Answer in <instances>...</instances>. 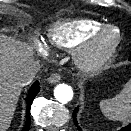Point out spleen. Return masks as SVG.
I'll use <instances>...</instances> for the list:
<instances>
[{
    "label": "spleen",
    "instance_id": "obj_1",
    "mask_svg": "<svg viewBox=\"0 0 131 131\" xmlns=\"http://www.w3.org/2000/svg\"><path fill=\"white\" fill-rule=\"evenodd\" d=\"M100 109L110 120L121 121L131 117V79L116 96L100 101Z\"/></svg>",
    "mask_w": 131,
    "mask_h": 131
}]
</instances>
